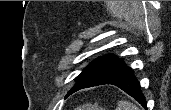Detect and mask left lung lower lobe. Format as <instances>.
Wrapping results in <instances>:
<instances>
[{"label": "left lung lower lobe", "mask_w": 171, "mask_h": 110, "mask_svg": "<svg viewBox=\"0 0 171 110\" xmlns=\"http://www.w3.org/2000/svg\"><path fill=\"white\" fill-rule=\"evenodd\" d=\"M103 84H112L119 87L127 94L135 98L145 109H147V102L143 94L141 93L140 84L135 78L132 69L127 67L124 63L106 71L90 82H86L79 86H76L68 92L67 96L82 88H88Z\"/></svg>", "instance_id": "0a47b994"}]
</instances>
